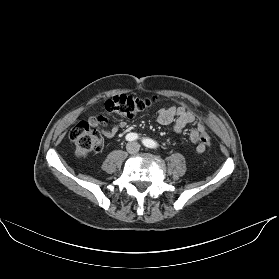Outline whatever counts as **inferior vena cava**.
<instances>
[{"instance_id": "1", "label": "inferior vena cava", "mask_w": 279, "mask_h": 279, "mask_svg": "<svg viewBox=\"0 0 279 279\" xmlns=\"http://www.w3.org/2000/svg\"><path fill=\"white\" fill-rule=\"evenodd\" d=\"M133 144H134V146H135V149H134V150H130V149H129V152H131V153L136 152V151L139 149V147H140V145H139L138 143H133Z\"/></svg>"}]
</instances>
